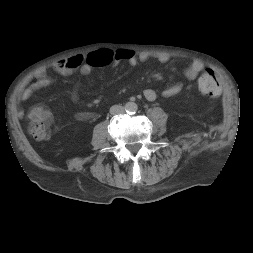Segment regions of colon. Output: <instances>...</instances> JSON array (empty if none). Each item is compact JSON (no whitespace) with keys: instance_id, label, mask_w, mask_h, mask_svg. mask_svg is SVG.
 Instances as JSON below:
<instances>
[{"instance_id":"obj_1","label":"colon","mask_w":253,"mask_h":253,"mask_svg":"<svg viewBox=\"0 0 253 253\" xmlns=\"http://www.w3.org/2000/svg\"><path fill=\"white\" fill-rule=\"evenodd\" d=\"M199 90L208 96L217 97L221 94L219 81L211 70H206L198 79ZM31 136L35 141H43L50 137L51 130L40 122L32 124L30 130Z\"/></svg>"}]
</instances>
